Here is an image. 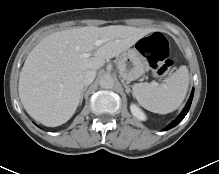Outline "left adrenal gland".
Segmentation results:
<instances>
[{"label":"left adrenal gland","instance_id":"1","mask_svg":"<svg viewBox=\"0 0 219 174\" xmlns=\"http://www.w3.org/2000/svg\"><path fill=\"white\" fill-rule=\"evenodd\" d=\"M125 88H126V92H127L128 94H129L130 92H132L128 85H125Z\"/></svg>","mask_w":219,"mask_h":174}]
</instances>
